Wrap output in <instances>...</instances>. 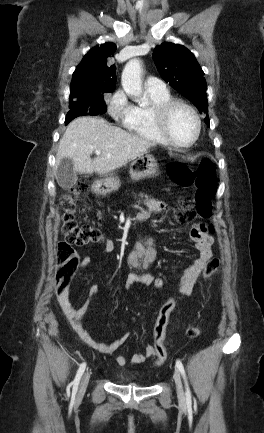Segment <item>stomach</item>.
Returning a JSON list of instances; mask_svg holds the SVG:
<instances>
[{"label":"stomach","instance_id":"0dacf381","mask_svg":"<svg viewBox=\"0 0 264 433\" xmlns=\"http://www.w3.org/2000/svg\"><path fill=\"white\" fill-rule=\"evenodd\" d=\"M158 163L150 154H143L130 165L129 174L132 180L139 181L158 175ZM120 180L117 177H107L93 184V191L99 195H106L120 188Z\"/></svg>","mask_w":264,"mask_h":433}]
</instances>
